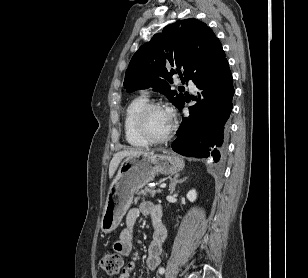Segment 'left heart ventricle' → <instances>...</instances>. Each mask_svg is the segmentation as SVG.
Segmentation results:
<instances>
[{"mask_svg": "<svg viewBox=\"0 0 308 278\" xmlns=\"http://www.w3.org/2000/svg\"><path fill=\"white\" fill-rule=\"evenodd\" d=\"M171 125L164 109L152 110L146 117V127L155 137H161L167 133Z\"/></svg>", "mask_w": 308, "mask_h": 278, "instance_id": "obj_1", "label": "left heart ventricle"}]
</instances>
